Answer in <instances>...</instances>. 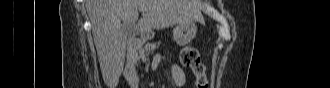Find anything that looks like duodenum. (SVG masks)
Segmentation results:
<instances>
[{
	"mask_svg": "<svg viewBox=\"0 0 330 88\" xmlns=\"http://www.w3.org/2000/svg\"><path fill=\"white\" fill-rule=\"evenodd\" d=\"M149 35L140 32L138 37H132L128 40L126 46V56H127V64L125 67V78L132 85V87H137L138 85V77L135 71V63L134 57L136 50L141 46L144 40H147Z\"/></svg>",
	"mask_w": 330,
	"mask_h": 88,
	"instance_id": "obj_1",
	"label": "duodenum"
}]
</instances>
